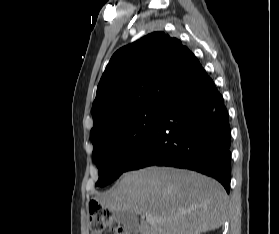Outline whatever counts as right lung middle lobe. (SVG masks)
I'll list each match as a JSON object with an SVG mask.
<instances>
[{"instance_id": "1", "label": "right lung middle lobe", "mask_w": 279, "mask_h": 234, "mask_svg": "<svg viewBox=\"0 0 279 234\" xmlns=\"http://www.w3.org/2000/svg\"><path fill=\"white\" fill-rule=\"evenodd\" d=\"M163 108H144L122 115L92 140L93 161L99 172L96 186L104 187L126 171L157 125Z\"/></svg>"}]
</instances>
